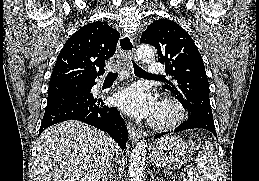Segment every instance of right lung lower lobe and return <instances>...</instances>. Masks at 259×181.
Listing matches in <instances>:
<instances>
[{
  "label": "right lung lower lobe",
  "instance_id": "right-lung-lower-lobe-1",
  "mask_svg": "<svg viewBox=\"0 0 259 181\" xmlns=\"http://www.w3.org/2000/svg\"><path fill=\"white\" fill-rule=\"evenodd\" d=\"M75 84L76 87L47 100L39 134L51 125L74 119L107 132L124 149L127 128L117 109L104 105L103 98L91 93L95 79Z\"/></svg>",
  "mask_w": 259,
  "mask_h": 181
}]
</instances>
